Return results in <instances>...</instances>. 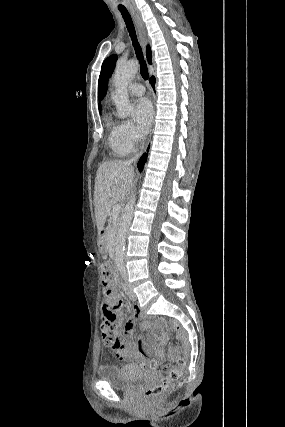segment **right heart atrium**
<instances>
[{"label":"right heart atrium","mask_w":285,"mask_h":427,"mask_svg":"<svg viewBox=\"0 0 285 427\" xmlns=\"http://www.w3.org/2000/svg\"><path fill=\"white\" fill-rule=\"evenodd\" d=\"M119 135L122 145L129 152L134 151L136 144L139 143L142 139L141 134L129 121H125L119 125Z\"/></svg>","instance_id":"1"}]
</instances>
